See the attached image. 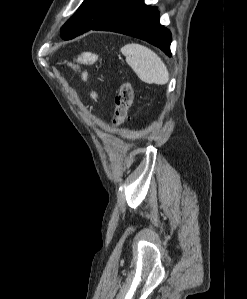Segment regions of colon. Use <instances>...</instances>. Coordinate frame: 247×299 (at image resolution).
Listing matches in <instances>:
<instances>
[{"mask_svg": "<svg viewBox=\"0 0 247 299\" xmlns=\"http://www.w3.org/2000/svg\"><path fill=\"white\" fill-rule=\"evenodd\" d=\"M134 92L129 82H124L115 98V109L112 118L114 127H120L129 119V111L133 103Z\"/></svg>", "mask_w": 247, "mask_h": 299, "instance_id": "colon-1", "label": "colon"}]
</instances>
